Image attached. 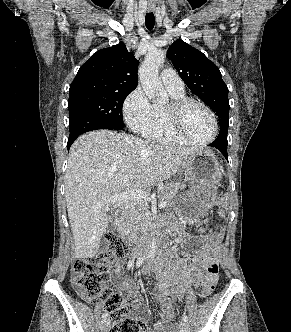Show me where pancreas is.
I'll list each match as a JSON object with an SVG mask.
<instances>
[{
    "mask_svg": "<svg viewBox=\"0 0 291 332\" xmlns=\"http://www.w3.org/2000/svg\"><path fill=\"white\" fill-rule=\"evenodd\" d=\"M186 187V184L174 183L167 184L158 188V197L160 202L169 203L173 197ZM146 204L140 201H134L123 212L118 229L120 232H125L133 228L139 227L144 219V211Z\"/></svg>",
    "mask_w": 291,
    "mask_h": 332,
    "instance_id": "obj_1",
    "label": "pancreas"
}]
</instances>
